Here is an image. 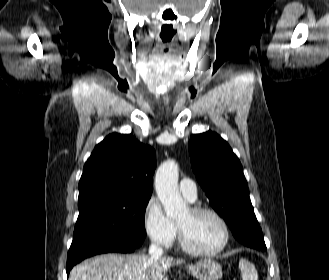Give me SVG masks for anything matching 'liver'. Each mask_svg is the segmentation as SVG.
I'll return each mask as SVG.
<instances>
[{
  "instance_id": "6515ba94",
  "label": "liver",
  "mask_w": 329,
  "mask_h": 280,
  "mask_svg": "<svg viewBox=\"0 0 329 280\" xmlns=\"http://www.w3.org/2000/svg\"><path fill=\"white\" fill-rule=\"evenodd\" d=\"M183 260L146 255L105 254L87 259L75 266L69 280H167L165 274Z\"/></svg>"
}]
</instances>
